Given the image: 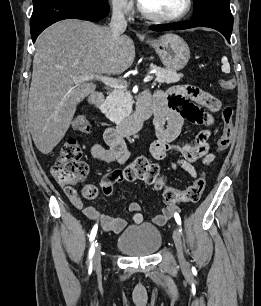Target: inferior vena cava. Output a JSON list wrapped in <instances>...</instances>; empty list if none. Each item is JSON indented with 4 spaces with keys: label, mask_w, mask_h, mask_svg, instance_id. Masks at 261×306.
I'll return each instance as SVG.
<instances>
[{
    "label": "inferior vena cava",
    "mask_w": 261,
    "mask_h": 306,
    "mask_svg": "<svg viewBox=\"0 0 261 306\" xmlns=\"http://www.w3.org/2000/svg\"><path fill=\"white\" fill-rule=\"evenodd\" d=\"M126 27L127 21L122 12V7L120 5H115L113 7L111 22L109 24L113 37L116 38L120 36L126 30Z\"/></svg>",
    "instance_id": "obj_1"
}]
</instances>
